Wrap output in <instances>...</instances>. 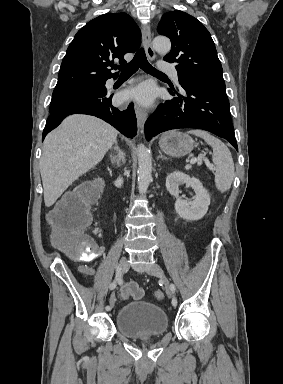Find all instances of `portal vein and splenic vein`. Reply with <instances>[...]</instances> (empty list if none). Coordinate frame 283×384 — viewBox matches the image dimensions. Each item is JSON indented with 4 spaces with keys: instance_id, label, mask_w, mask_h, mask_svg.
Returning <instances> with one entry per match:
<instances>
[{
    "instance_id": "portal-vein-and-splenic-vein-1",
    "label": "portal vein and splenic vein",
    "mask_w": 283,
    "mask_h": 384,
    "mask_svg": "<svg viewBox=\"0 0 283 384\" xmlns=\"http://www.w3.org/2000/svg\"><path fill=\"white\" fill-rule=\"evenodd\" d=\"M195 162H198V166H201L202 164V158H192V160H190V164H195ZM207 168H210V170H213V166L212 164H210L209 160H204Z\"/></svg>"
}]
</instances>
